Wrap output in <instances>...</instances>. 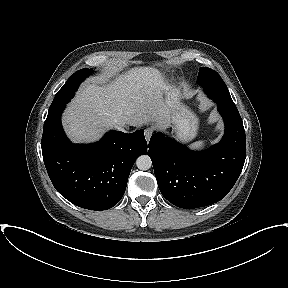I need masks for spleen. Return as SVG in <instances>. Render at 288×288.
Instances as JSON below:
<instances>
[{
  "label": "spleen",
  "mask_w": 288,
  "mask_h": 288,
  "mask_svg": "<svg viewBox=\"0 0 288 288\" xmlns=\"http://www.w3.org/2000/svg\"><path fill=\"white\" fill-rule=\"evenodd\" d=\"M205 146V141H197L190 145L193 149H202Z\"/></svg>",
  "instance_id": "1"
}]
</instances>
